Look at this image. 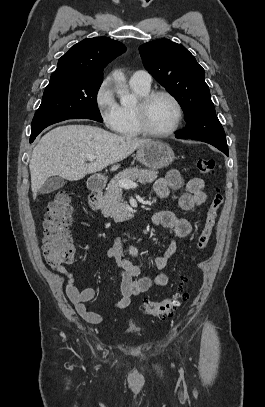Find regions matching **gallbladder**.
<instances>
[{"label":"gallbladder","mask_w":265,"mask_h":407,"mask_svg":"<svg viewBox=\"0 0 265 407\" xmlns=\"http://www.w3.org/2000/svg\"><path fill=\"white\" fill-rule=\"evenodd\" d=\"M65 185V180L61 177H51L47 180L40 189L41 194L54 192Z\"/></svg>","instance_id":"1"}]
</instances>
